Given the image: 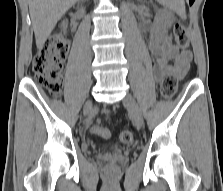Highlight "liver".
Here are the masks:
<instances>
[{"label":"liver","mask_w":223,"mask_h":191,"mask_svg":"<svg viewBox=\"0 0 223 191\" xmlns=\"http://www.w3.org/2000/svg\"><path fill=\"white\" fill-rule=\"evenodd\" d=\"M79 0H29L36 46L42 49L59 19Z\"/></svg>","instance_id":"liver-1"}]
</instances>
